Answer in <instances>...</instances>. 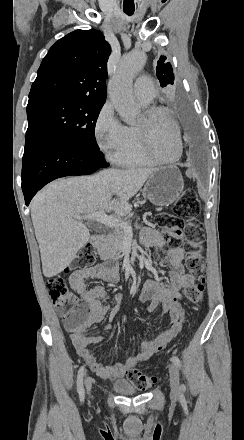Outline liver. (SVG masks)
<instances>
[{
	"instance_id": "1",
	"label": "liver",
	"mask_w": 244,
	"mask_h": 440,
	"mask_svg": "<svg viewBox=\"0 0 244 440\" xmlns=\"http://www.w3.org/2000/svg\"><path fill=\"white\" fill-rule=\"evenodd\" d=\"M156 170L110 168L95 176L59 178L38 192L32 200L31 218L45 278L63 272L89 242L88 228L76 220L79 214L114 212L127 216L132 210L130 198Z\"/></svg>"
}]
</instances>
